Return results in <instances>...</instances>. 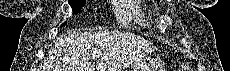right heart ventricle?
<instances>
[{
  "instance_id": "1",
  "label": "right heart ventricle",
  "mask_w": 230,
  "mask_h": 71,
  "mask_svg": "<svg viewBox=\"0 0 230 71\" xmlns=\"http://www.w3.org/2000/svg\"><path fill=\"white\" fill-rule=\"evenodd\" d=\"M141 0H123L119 1L116 7V13L121 25L128 26L136 23L145 25L147 17Z\"/></svg>"
}]
</instances>
